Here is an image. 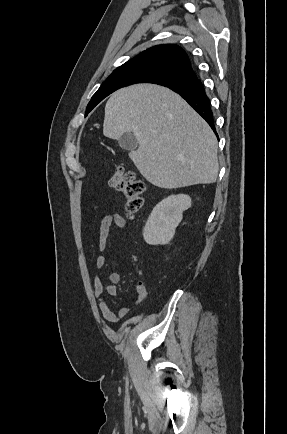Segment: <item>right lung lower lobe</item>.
<instances>
[{"label": "right lung lower lobe", "instance_id": "right-lung-lower-lobe-1", "mask_svg": "<svg viewBox=\"0 0 287 434\" xmlns=\"http://www.w3.org/2000/svg\"><path fill=\"white\" fill-rule=\"evenodd\" d=\"M166 87L180 94L206 120L215 132L210 100L194 71L189 72L181 80Z\"/></svg>", "mask_w": 287, "mask_h": 434}]
</instances>
